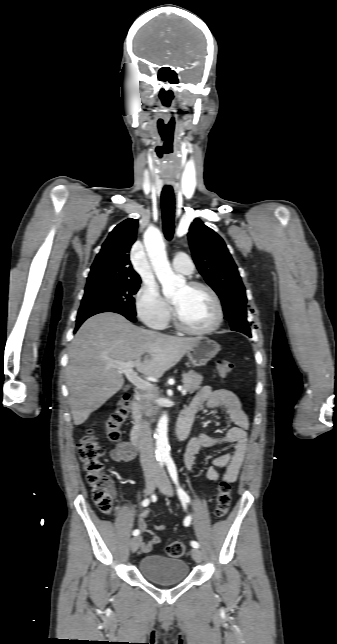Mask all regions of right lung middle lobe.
Returning a JSON list of instances; mask_svg holds the SVG:
<instances>
[{
  "label": "right lung middle lobe",
  "mask_w": 337,
  "mask_h": 644,
  "mask_svg": "<svg viewBox=\"0 0 337 644\" xmlns=\"http://www.w3.org/2000/svg\"><path fill=\"white\" fill-rule=\"evenodd\" d=\"M141 281L97 280L87 282L77 321L102 312L136 316L134 294Z\"/></svg>",
  "instance_id": "dd1d6c3e"
}]
</instances>
